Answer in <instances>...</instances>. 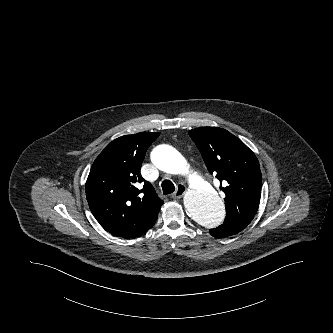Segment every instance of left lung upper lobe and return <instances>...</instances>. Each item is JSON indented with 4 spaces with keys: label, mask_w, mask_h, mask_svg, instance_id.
<instances>
[{
    "label": "left lung upper lobe",
    "mask_w": 333,
    "mask_h": 333,
    "mask_svg": "<svg viewBox=\"0 0 333 333\" xmlns=\"http://www.w3.org/2000/svg\"><path fill=\"white\" fill-rule=\"evenodd\" d=\"M205 165L221 182L227 220L248 225L260 202L262 175L255 154L236 136L218 127L189 131ZM222 181L227 182L222 187ZM226 184V183H225Z\"/></svg>",
    "instance_id": "1"
}]
</instances>
